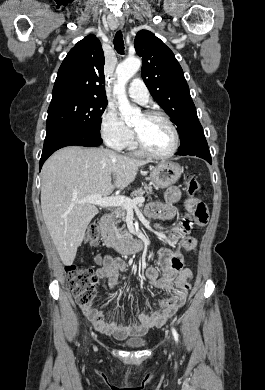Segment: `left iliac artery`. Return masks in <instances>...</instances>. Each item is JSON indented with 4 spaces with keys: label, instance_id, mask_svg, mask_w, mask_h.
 I'll return each instance as SVG.
<instances>
[{
    "label": "left iliac artery",
    "instance_id": "left-iliac-artery-1",
    "mask_svg": "<svg viewBox=\"0 0 265 390\" xmlns=\"http://www.w3.org/2000/svg\"><path fill=\"white\" fill-rule=\"evenodd\" d=\"M172 334L174 336L175 341L178 342V333L174 328H172Z\"/></svg>",
    "mask_w": 265,
    "mask_h": 390
}]
</instances>
